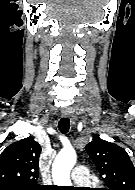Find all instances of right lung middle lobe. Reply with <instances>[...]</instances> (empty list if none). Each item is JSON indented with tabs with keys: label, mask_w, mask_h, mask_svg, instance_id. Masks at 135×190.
<instances>
[{
	"label": "right lung middle lobe",
	"mask_w": 135,
	"mask_h": 190,
	"mask_svg": "<svg viewBox=\"0 0 135 190\" xmlns=\"http://www.w3.org/2000/svg\"><path fill=\"white\" fill-rule=\"evenodd\" d=\"M40 188L36 189V190H39ZM0 190H17L16 188H0Z\"/></svg>",
	"instance_id": "right-lung-middle-lobe-1"
}]
</instances>
